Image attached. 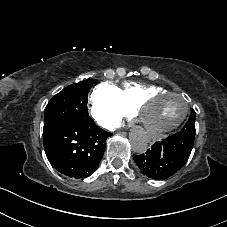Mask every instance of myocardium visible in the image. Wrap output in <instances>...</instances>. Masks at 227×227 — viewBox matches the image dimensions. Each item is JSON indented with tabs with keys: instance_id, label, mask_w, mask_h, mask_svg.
<instances>
[{
	"instance_id": "myocardium-1",
	"label": "myocardium",
	"mask_w": 227,
	"mask_h": 227,
	"mask_svg": "<svg viewBox=\"0 0 227 227\" xmlns=\"http://www.w3.org/2000/svg\"><path fill=\"white\" fill-rule=\"evenodd\" d=\"M165 95H175V96H179L181 98L184 99L185 101V110H184V113L183 115L180 117V119L175 122L173 125L167 127V128H164V129H154V128H148V127H145V131L149 134H158V133H166V132H172L174 130H176L177 128H179L181 126V124L186 120L188 114H189V108H190V105H189V100L186 96L185 93L183 92H180V91H170V90H164V91H160V92H155V93H152V94H148L146 95L145 97H143L135 106L134 108V115L137 119V122L139 124L142 125V117H141V111L142 109L148 105L150 102H152L153 100L161 97V96H165Z\"/></svg>"
}]
</instances>
